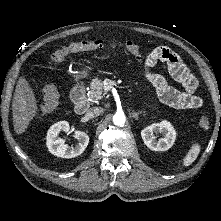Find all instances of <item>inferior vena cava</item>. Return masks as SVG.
<instances>
[{"instance_id":"inferior-vena-cava-1","label":"inferior vena cava","mask_w":221,"mask_h":221,"mask_svg":"<svg viewBox=\"0 0 221 221\" xmlns=\"http://www.w3.org/2000/svg\"><path fill=\"white\" fill-rule=\"evenodd\" d=\"M101 112H102V109L100 107H93L87 111L86 117L87 118H94V117L99 116L101 114Z\"/></svg>"}]
</instances>
